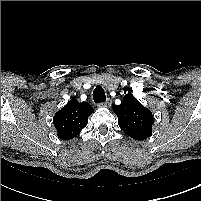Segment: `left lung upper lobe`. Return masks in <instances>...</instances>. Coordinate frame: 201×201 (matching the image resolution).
Here are the masks:
<instances>
[{"mask_svg":"<svg viewBox=\"0 0 201 201\" xmlns=\"http://www.w3.org/2000/svg\"><path fill=\"white\" fill-rule=\"evenodd\" d=\"M118 117L119 127L130 137L144 140L151 136L154 117L133 95L124 96L120 105L112 107Z\"/></svg>","mask_w":201,"mask_h":201,"instance_id":"1","label":"left lung upper lobe"}]
</instances>
